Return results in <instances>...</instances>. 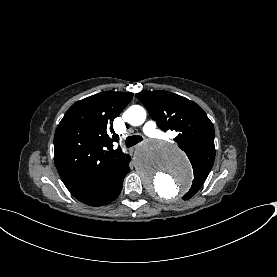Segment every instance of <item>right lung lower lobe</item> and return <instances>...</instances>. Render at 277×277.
Listing matches in <instances>:
<instances>
[{"label": "right lung lower lobe", "mask_w": 277, "mask_h": 277, "mask_svg": "<svg viewBox=\"0 0 277 277\" xmlns=\"http://www.w3.org/2000/svg\"><path fill=\"white\" fill-rule=\"evenodd\" d=\"M129 161L130 158L127 155V158L103 182L77 199L91 206L106 205L114 201L122 190L124 177L130 171Z\"/></svg>", "instance_id": "right-lung-lower-lobe-1"}]
</instances>
